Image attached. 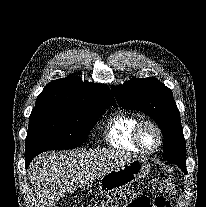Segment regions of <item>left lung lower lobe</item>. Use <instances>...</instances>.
<instances>
[{
	"mask_svg": "<svg viewBox=\"0 0 206 207\" xmlns=\"http://www.w3.org/2000/svg\"><path fill=\"white\" fill-rule=\"evenodd\" d=\"M183 170V172L186 174V169H182Z\"/></svg>",
	"mask_w": 206,
	"mask_h": 207,
	"instance_id": "left-lung-lower-lobe-1",
	"label": "left lung lower lobe"
}]
</instances>
